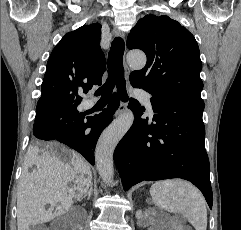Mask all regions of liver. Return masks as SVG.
<instances>
[{"label":"liver","instance_id":"6515ba94","mask_svg":"<svg viewBox=\"0 0 241 230\" xmlns=\"http://www.w3.org/2000/svg\"><path fill=\"white\" fill-rule=\"evenodd\" d=\"M50 146L55 148L54 155L38 146L28 148L18 188V230H30L31 225L66 213L91 185L90 166L80 155L57 143ZM58 151L64 160L57 157ZM33 166L36 168L29 171ZM70 182L74 183L71 188Z\"/></svg>","mask_w":241,"mask_h":230}]
</instances>
